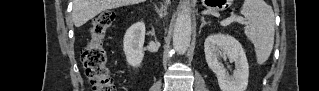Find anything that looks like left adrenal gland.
Segmentation results:
<instances>
[{
  "label": "left adrenal gland",
  "instance_id": "a2214340",
  "mask_svg": "<svg viewBox=\"0 0 319 91\" xmlns=\"http://www.w3.org/2000/svg\"><path fill=\"white\" fill-rule=\"evenodd\" d=\"M209 22H206L205 21V18L202 16L201 17V25H200V31H201V29L203 28V26H205L206 24H208Z\"/></svg>",
  "mask_w": 319,
  "mask_h": 91
}]
</instances>
